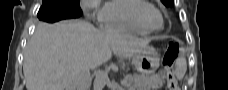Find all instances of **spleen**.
Instances as JSON below:
<instances>
[{
    "label": "spleen",
    "instance_id": "3e777b00",
    "mask_svg": "<svg viewBox=\"0 0 228 90\" xmlns=\"http://www.w3.org/2000/svg\"><path fill=\"white\" fill-rule=\"evenodd\" d=\"M187 70V62L185 57H180L176 61V77L178 80H182Z\"/></svg>",
    "mask_w": 228,
    "mask_h": 90
}]
</instances>
